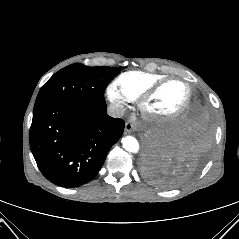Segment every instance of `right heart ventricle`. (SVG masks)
<instances>
[{
	"label": "right heart ventricle",
	"mask_w": 239,
	"mask_h": 239,
	"mask_svg": "<svg viewBox=\"0 0 239 239\" xmlns=\"http://www.w3.org/2000/svg\"><path fill=\"white\" fill-rule=\"evenodd\" d=\"M167 76L143 71H129L121 74L116 84L132 101L138 100L152 86L166 79Z\"/></svg>",
	"instance_id": "e07e8e85"
}]
</instances>
